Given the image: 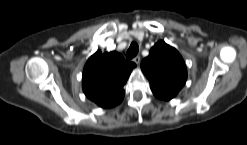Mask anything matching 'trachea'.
<instances>
[{
  "label": "trachea",
  "instance_id": "1",
  "mask_svg": "<svg viewBox=\"0 0 247 145\" xmlns=\"http://www.w3.org/2000/svg\"><path fill=\"white\" fill-rule=\"evenodd\" d=\"M138 50H139V47H138L137 43L132 42L129 49L127 50L126 58L129 60L132 59L133 57H135L137 55Z\"/></svg>",
  "mask_w": 247,
  "mask_h": 145
}]
</instances>
